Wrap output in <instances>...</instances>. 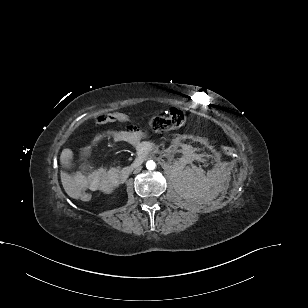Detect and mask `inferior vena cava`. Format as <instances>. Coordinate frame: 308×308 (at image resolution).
Returning <instances> with one entry per match:
<instances>
[{"mask_svg": "<svg viewBox=\"0 0 308 308\" xmlns=\"http://www.w3.org/2000/svg\"><path fill=\"white\" fill-rule=\"evenodd\" d=\"M140 170H141V167H138V168L135 169L134 172L138 173V172H140Z\"/></svg>", "mask_w": 308, "mask_h": 308, "instance_id": "inferior-vena-cava-1", "label": "inferior vena cava"}]
</instances>
